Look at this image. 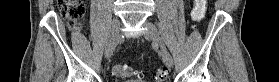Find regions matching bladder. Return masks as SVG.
<instances>
[{
  "label": "bladder",
  "instance_id": "bladder-1",
  "mask_svg": "<svg viewBox=\"0 0 279 82\" xmlns=\"http://www.w3.org/2000/svg\"><path fill=\"white\" fill-rule=\"evenodd\" d=\"M125 82H142V81H125Z\"/></svg>",
  "mask_w": 279,
  "mask_h": 82
}]
</instances>
